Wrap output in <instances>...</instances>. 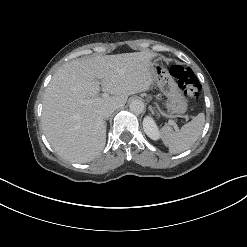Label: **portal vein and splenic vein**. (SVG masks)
<instances>
[{
  "label": "portal vein and splenic vein",
  "mask_w": 247,
  "mask_h": 247,
  "mask_svg": "<svg viewBox=\"0 0 247 247\" xmlns=\"http://www.w3.org/2000/svg\"><path fill=\"white\" fill-rule=\"evenodd\" d=\"M102 96L103 97H108L109 94L107 92H105V93L102 94ZM170 124L173 125L176 130L178 129L177 126H176V124L173 121H170Z\"/></svg>",
  "instance_id": "1"
}]
</instances>
